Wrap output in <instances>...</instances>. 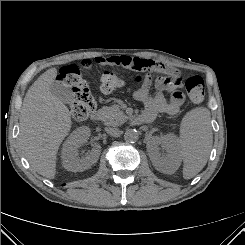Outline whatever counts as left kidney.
Returning <instances> with one entry per match:
<instances>
[{
	"mask_svg": "<svg viewBox=\"0 0 245 245\" xmlns=\"http://www.w3.org/2000/svg\"><path fill=\"white\" fill-rule=\"evenodd\" d=\"M160 146L165 152L160 151ZM147 152L153 166L160 172L173 173L180 166V144L174 134L151 137L147 142Z\"/></svg>",
	"mask_w": 245,
	"mask_h": 245,
	"instance_id": "left-kidney-1",
	"label": "left kidney"
}]
</instances>
